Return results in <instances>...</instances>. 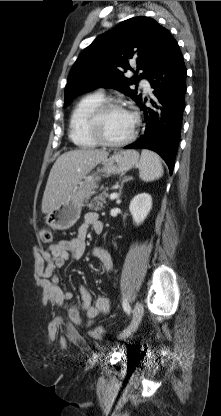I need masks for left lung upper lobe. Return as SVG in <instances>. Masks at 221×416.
<instances>
[{
  "mask_svg": "<svg viewBox=\"0 0 221 416\" xmlns=\"http://www.w3.org/2000/svg\"><path fill=\"white\" fill-rule=\"evenodd\" d=\"M166 33L167 30L154 19L134 17L98 36L83 50L71 69L64 107L76 96L97 87L117 89L139 106L142 95L131 89V85L148 77ZM132 64L136 65V71ZM128 70L133 71L135 77H125ZM139 70H142L141 74Z\"/></svg>",
  "mask_w": 221,
  "mask_h": 416,
  "instance_id": "left-lung-upper-lobe-1",
  "label": "left lung upper lobe"
}]
</instances>
